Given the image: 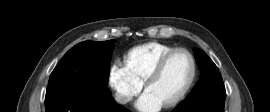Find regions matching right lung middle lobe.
<instances>
[{
    "label": "right lung middle lobe",
    "instance_id": "right-lung-middle-lobe-1",
    "mask_svg": "<svg viewBox=\"0 0 270 112\" xmlns=\"http://www.w3.org/2000/svg\"><path fill=\"white\" fill-rule=\"evenodd\" d=\"M113 40L84 41L71 48L57 64L49 78L46 95L63 86L82 88L104 96H110L106 88L109 76Z\"/></svg>",
    "mask_w": 270,
    "mask_h": 112
}]
</instances>
